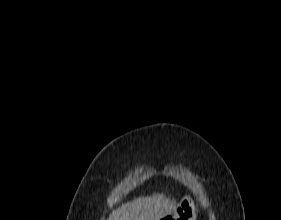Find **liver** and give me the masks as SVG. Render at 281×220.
<instances>
[{"label": "liver", "instance_id": "6515ba94", "mask_svg": "<svg viewBox=\"0 0 281 220\" xmlns=\"http://www.w3.org/2000/svg\"><path fill=\"white\" fill-rule=\"evenodd\" d=\"M176 208L174 199L163 193L139 197L112 211L108 220H160L170 215Z\"/></svg>", "mask_w": 281, "mask_h": 220}]
</instances>
